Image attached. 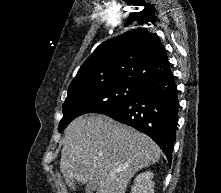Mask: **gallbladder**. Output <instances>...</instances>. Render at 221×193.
<instances>
[{
    "label": "gallbladder",
    "instance_id": "obj_1",
    "mask_svg": "<svg viewBox=\"0 0 221 193\" xmlns=\"http://www.w3.org/2000/svg\"><path fill=\"white\" fill-rule=\"evenodd\" d=\"M96 186V181H93L91 184H89V189L91 190V193H93V189Z\"/></svg>",
    "mask_w": 221,
    "mask_h": 193
}]
</instances>
